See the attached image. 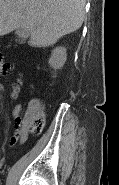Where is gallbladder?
Masks as SVG:
<instances>
[{"mask_svg": "<svg viewBox=\"0 0 119 185\" xmlns=\"http://www.w3.org/2000/svg\"><path fill=\"white\" fill-rule=\"evenodd\" d=\"M16 34L19 37V41L24 43L29 36V33L24 29H17Z\"/></svg>", "mask_w": 119, "mask_h": 185, "instance_id": "gallbladder-1", "label": "gallbladder"}]
</instances>
